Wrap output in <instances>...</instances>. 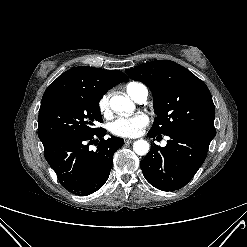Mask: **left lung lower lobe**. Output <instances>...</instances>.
<instances>
[{
    "instance_id": "left-lung-lower-lobe-1",
    "label": "left lung lower lobe",
    "mask_w": 247,
    "mask_h": 247,
    "mask_svg": "<svg viewBox=\"0 0 247 247\" xmlns=\"http://www.w3.org/2000/svg\"><path fill=\"white\" fill-rule=\"evenodd\" d=\"M151 137L157 135L148 133ZM165 147L151 146L140 162L147 181L162 191L184 187L196 174L207 156L210 139L189 131L176 130L169 134Z\"/></svg>"
}]
</instances>
